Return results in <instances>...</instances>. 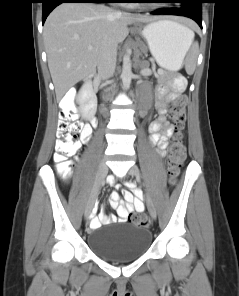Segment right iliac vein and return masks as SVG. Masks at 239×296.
<instances>
[{"mask_svg": "<svg viewBox=\"0 0 239 296\" xmlns=\"http://www.w3.org/2000/svg\"><path fill=\"white\" fill-rule=\"evenodd\" d=\"M108 173V167L106 165V163L104 161H101L99 166H98V171H97V176H96V181H95V185L92 189L86 210H85V217L87 218L89 216V214L91 213V210L95 204V201L97 199L99 190L101 188V186L104 183V180L107 176Z\"/></svg>", "mask_w": 239, "mask_h": 296, "instance_id": "obj_1", "label": "right iliac vein"}]
</instances>
